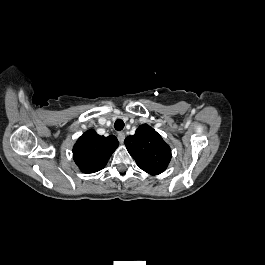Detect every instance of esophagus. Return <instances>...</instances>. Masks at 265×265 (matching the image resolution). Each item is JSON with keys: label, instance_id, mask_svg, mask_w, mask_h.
<instances>
[{"label": "esophagus", "instance_id": "esophagus-1", "mask_svg": "<svg viewBox=\"0 0 265 265\" xmlns=\"http://www.w3.org/2000/svg\"><path fill=\"white\" fill-rule=\"evenodd\" d=\"M117 138H118L119 142L122 144L124 142V139H125V133L124 132H118Z\"/></svg>", "mask_w": 265, "mask_h": 265}]
</instances>
